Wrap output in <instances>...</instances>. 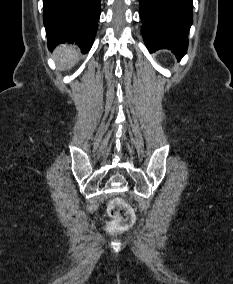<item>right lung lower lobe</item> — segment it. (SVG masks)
I'll list each match as a JSON object with an SVG mask.
<instances>
[{
	"instance_id": "98d812e1",
	"label": "right lung lower lobe",
	"mask_w": 233,
	"mask_h": 284,
	"mask_svg": "<svg viewBox=\"0 0 233 284\" xmlns=\"http://www.w3.org/2000/svg\"><path fill=\"white\" fill-rule=\"evenodd\" d=\"M43 21L48 48L76 43L87 53L94 42L100 17V0H43Z\"/></svg>"
}]
</instances>
